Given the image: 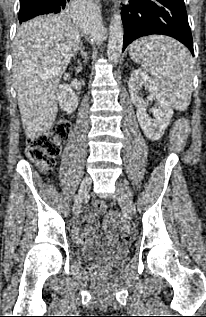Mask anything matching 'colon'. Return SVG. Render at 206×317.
<instances>
[{
  "label": "colon",
  "instance_id": "1",
  "mask_svg": "<svg viewBox=\"0 0 206 317\" xmlns=\"http://www.w3.org/2000/svg\"><path fill=\"white\" fill-rule=\"evenodd\" d=\"M188 133V120L185 117L177 119L171 133L170 150L174 152L182 151ZM69 134L70 123L65 119H60L46 133L27 140V155L40 169L44 171L51 170L60 155L62 144L67 140ZM94 208L98 213L106 212V205L103 202H96ZM106 221L112 225H117L123 236L130 235V225L122 220L118 213H108Z\"/></svg>",
  "mask_w": 206,
  "mask_h": 317
}]
</instances>
